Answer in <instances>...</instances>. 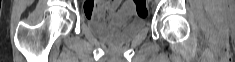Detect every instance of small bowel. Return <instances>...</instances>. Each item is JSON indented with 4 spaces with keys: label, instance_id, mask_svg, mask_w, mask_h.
<instances>
[{
    "label": "small bowel",
    "instance_id": "1",
    "mask_svg": "<svg viewBox=\"0 0 235 62\" xmlns=\"http://www.w3.org/2000/svg\"><path fill=\"white\" fill-rule=\"evenodd\" d=\"M91 4L92 3H88L86 5V8L89 7ZM119 4H120L119 0L109 1V2L106 3L107 7L111 10V14L118 8ZM86 8H85V10H86ZM124 9H126V10L132 9V3L131 2H126L125 5H124Z\"/></svg>",
    "mask_w": 235,
    "mask_h": 62
}]
</instances>
